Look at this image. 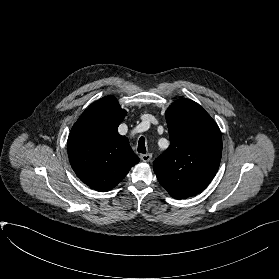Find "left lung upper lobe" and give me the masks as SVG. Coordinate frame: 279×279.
<instances>
[{"mask_svg": "<svg viewBox=\"0 0 279 279\" xmlns=\"http://www.w3.org/2000/svg\"><path fill=\"white\" fill-rule=\"evenodd\" d=\"M170 146L154 163L160 184L176 199L205 189L214 178L222 155V137L216 122L196 102L175 101L165 113Z\"/></svg>", "mask_w": 279, "mask_h": 279, "instance_id": "left-lung-upper-lobe-1", "label": "left lung upper lobe"}]
</instances>
